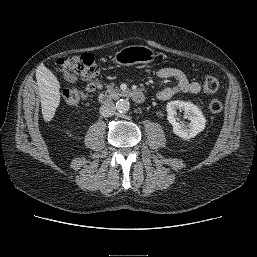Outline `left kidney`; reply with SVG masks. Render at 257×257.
Wrapping results in <instances>:
<instances>
[{"mask_svg": "<svg viewBox=\"0 0 257 257\" xmlns=\"http://www.w3.org/2000/svg\"><path fill=\"white\" fill-rule=\"evenodd\" d=\"M167 119L173 126V132L183 139H190L205 129L206 119L201 110L191 102L170 101L166 105ZM177 110L184 111L189 124L179 123L176 119Z\"/></svg>", "mask_w": 257, "mask_h": 257, "instance_id": "5707ae66", "label": "left kidney"}]
</instances>
